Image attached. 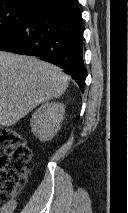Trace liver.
I'll use <instances>...</instances> for the list:
<instances>
[{
    "instance_id": "obj_1",
    "label": "liver",
    "mask_w": 128,
    "mask_h": 213,
    "mask_svg": "<svg viewBox=\"0 0 128 213\" xmlns=\"http://www.w3.org/2000/svg\"><path fill=\"white\" fill-rule=\"evenodd\" d=\"M69 79L36 57L0 52V125L12 126L39 104L60 97Z\"/></svg>"
}]
</instances>
